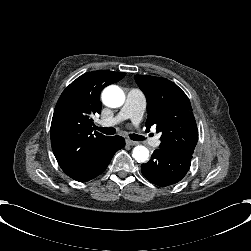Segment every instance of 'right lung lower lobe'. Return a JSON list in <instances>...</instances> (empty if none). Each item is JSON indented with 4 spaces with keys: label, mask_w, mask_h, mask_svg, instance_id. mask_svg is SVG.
Masks as SVG:
<instances>
[{
    "label": "right lung lower lobe",
    "mask_w": 251,
    "mask_h": 251,
    "mask_svg": "<svg viewBox=\"0 0 251 251\" xmlns=\"http://www.w3.org/2000/svg\"><path fill=\"white\" fill-rule=\"evenodd\" d=\"M125 146V140L121 136L111 137L109 143L102 150V152L96 157L94 161L82 168L81 170L68 175L72 179L79 182H86L94 179L102 172L105 171L109 165L113 155L121 148Z\"/></svg>",
    "instance_id": "1"
}]
</instances>
